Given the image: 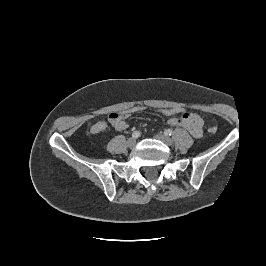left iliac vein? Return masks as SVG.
<instances>
[{"mask_svg": "<svg viewBox=\"0 0 266 266\" xmlns=\"http://www.w3.org/2000/svg\"><path fill=\"white\" fill-rule=\"evenodd\" d=\"M156 138L168 146L172 144V140L164 134H157Z\"/></svg>", "mask_w": 266, "mask_h": 266, "instance_id": "left-iliac-vein-1", "label": "left iliac vein"}]
</instances>
